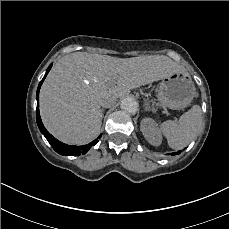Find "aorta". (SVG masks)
<instances>
[{
  "label": "aorta",
  "instance_id": "762f6f07",
  "mask_svg": "<svg viewBox=\"0 0 229 229\" xmlns=\"http://www.w3.org/2000/svg\"><path fill=\"white\" fill-rule=\"evenodd\" d=\"M138 106V102L132 97H126L121 101V108L130 114H136Z\"/></svg>",
  "mask_w": 229,
  "mask_h": 229
}]
</instances>
